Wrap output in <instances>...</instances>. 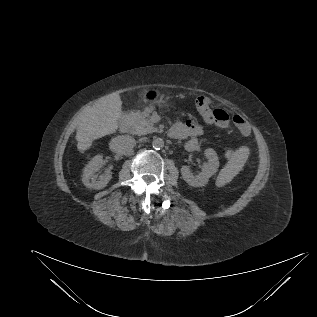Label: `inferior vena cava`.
Returning <instances> with one entry per match:
<instances>
[{
    "label": "inferior vena cava",
    "instance_id": "1",
    "mask_svg": "<svg viewBox=\"0 0 317 317\" xmlns=\"http://www.w3.org/2000/svg\"><path fill=\"white\" fill-rule=\"evenodd\" d=\"M135 146V139L129 135H122L112 139L110 148L117 153H127Z\"/></svg>",
    "mask_w": 317,
    "mask_h": 317
}]
</instances>
